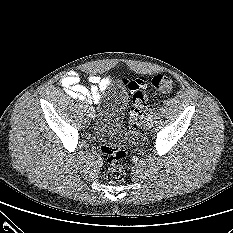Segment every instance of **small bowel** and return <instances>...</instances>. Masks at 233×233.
<instances>
[{
    "mask_svg": "<svg viewBox=\"0 0 233 233\" xmlns=\"http://www.w3.org/2000/svg\"><path fill=\"white\" fill-rule=\"evenodd\" d=\"M111 77H101L99 75H90L88 81L90 86L87 87L80 83V76L75 71H70L61 79V85L66 93L74 99L85 100L89 103H97L102 96V93L108 88L111 83ZM144 85V80L126 81V84L131 89L133 84Z\"/></svg>",
    "mask_w": 233,
    "mask_h": 233,
    "instance_id": "c3829d8e",
    "label": "small bowel"
}]
</instances>
